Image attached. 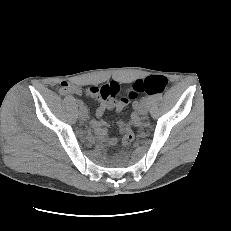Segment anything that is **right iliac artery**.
<instances>
[{"instance_id": "obj_1", "label": "right iliac artery", "mask_w": 231, "mask_h": 231, "mask_svg": "<svg viewBox=\"0 0 231 231\" xmlns=\"http://www.w3.org/2000/svg\"><path fill=\"white\" fill-rule=\"evenodd\" d=\"M77 104L80 106V107H83V101L82 100H77Z\"/></svg>"}]
</instances>
